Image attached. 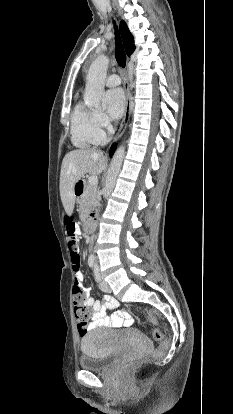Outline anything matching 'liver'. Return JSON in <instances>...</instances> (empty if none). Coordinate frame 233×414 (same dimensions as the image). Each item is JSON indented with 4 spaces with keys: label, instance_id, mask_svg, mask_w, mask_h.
Masks as SVG:
<instances>
[{
    "label": "liver",
    "instance_id": "obj_1",
    "mask_svg": "<svg viewBox=\"0 0 233 414\" xmlns=\"http://www.w3.org/2000/svg\"><path fill=\"white\" fill-rule=\"evenodd\" d=\"M107 157L96 149H76L67 153L60 172V196L67 215L73 213L75 184L86 173L97 176L106 168Z\"/></svg>",
    "mask_w": 233,
    "mask_h": 414
}]
</instances>
